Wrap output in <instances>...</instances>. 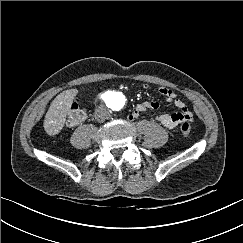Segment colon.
<instances>
[{
    "mask_svg": "<svg viewBox=\"0 0 243 243\" xmlns=\"http://www.w3.org/2000/svg\"><path fill=\"white\" fill-rule=\"evenodd\" d=\"M86 118V109L79 107L77 104H73L68 116H67V124L69 126H75L79 123H81ZM191 122L184 121L181 124L180 130L184 137L189 136L191 132Z\"/></svg>",
    "mask_w": 243,
    "mask_h": 243,
    "instance_id": "1",
    "label": "colon"
}]
</instances>
